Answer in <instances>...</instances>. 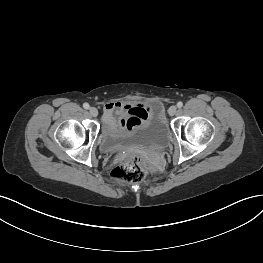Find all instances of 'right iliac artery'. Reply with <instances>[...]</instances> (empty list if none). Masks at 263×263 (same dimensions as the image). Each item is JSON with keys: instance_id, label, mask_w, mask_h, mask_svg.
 Wrapping results in <instances>:
<instances>
[{"instance_id": "right-iliac-artery-1", "label": "right iliac artery", "mask_w": 263, "mask_h": 263, "mask_svg": "<svg viewBox=\"0 0 263 263\" xmlns=\"http://www.w3.org/2000/svg\"><path fill=\"white\" fill-rule=\"evenodd\" d=\"M83 107H84L85 109H89L90 106H89L88 103H84V104H83Z\"/></svg>"}]
</instances>
